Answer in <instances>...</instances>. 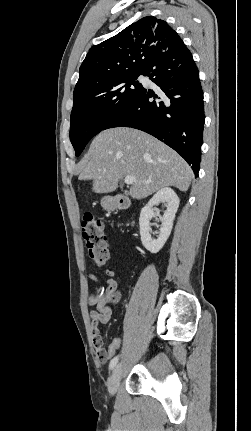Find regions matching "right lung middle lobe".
<instances>
[{"instance_id":"right-lung-middle-lobe-1","label":"right lung middle lobe","mask_w":251,"mask_h":431,"mask_svg":"<svg viewBox=\"0 0 251 431\" xmlns=\"http://www.w3.org/2000/svg\"><path fill=\"white\" fill-rule=\"evenodd\" d=\"M145 71H137L112 79L73 95L70 140L79 156L90 139L104 130L108 122L143 86L136 81Z\"/></svg>"}]
</instances>
